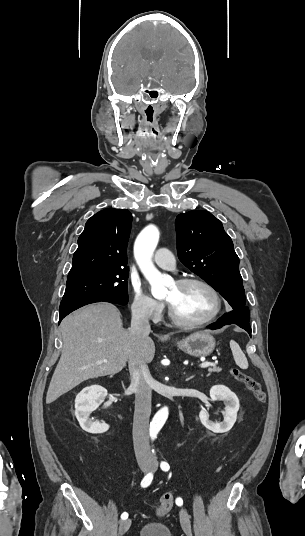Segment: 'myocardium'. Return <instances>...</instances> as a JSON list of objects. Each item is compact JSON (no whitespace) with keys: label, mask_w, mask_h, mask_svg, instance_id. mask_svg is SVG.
<instances>
[{"label":"myocardium","mask_w":305,"mask_h":536,"mask_svg":"<svg viewBox=\"0 0 305 536\" xmlns=\"http://www.w3.org/2000/svg\"><path fill=\"white\" fill-rule=\"evenodd\" d=\"M176 284L180 287H186L194 284L203 285L210 289L215 294L218 300V308L215 313L209 318L202 321H190L185 319L167 302L168 314L176 324L187 328H202L215 322L224 313L226 307L224 296L221 291L209 281L200 277H186L179 279Z\"/></svg>","instance_id":"myocardium-1"}]
</instances>
